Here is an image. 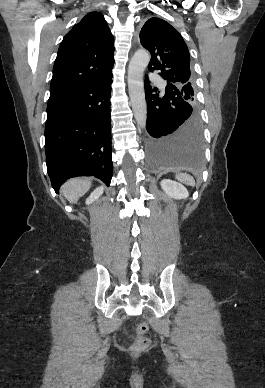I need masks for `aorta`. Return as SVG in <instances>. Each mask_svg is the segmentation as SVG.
Masks as SVG:
<instances>
[{
	"instance_id": "aorta-1",
	"label": "aorta",
	"mask_w": 265,
	"mask_h": 388,
	"mask_svg": "<svg viewBox=\"0 0 265 388\" xmlns=\"http://www.w3.org/2000/svg\"><path fill=\"white\" fill-rule=\"evenodd\" d=\"M150 56L145 50H138L132 57L128 67V89L135 120L141 128L147 121V107L144 92V70L148 66Z\"/></svg>"
}]
</instances>
